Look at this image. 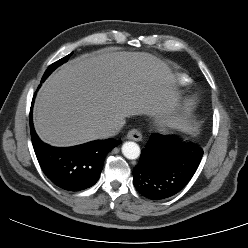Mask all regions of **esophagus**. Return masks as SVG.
<instances>
[{
  "label": "esophagus",
  "instance_id": "1",
  "mask_svg": "<svg viewBox=\"0 0 248 248\" xmlns=\"http://www.w3.org/2000/svg\"><path fill=\"white\" fill-rule=\"evenodd\" d=\"M126 138L129 139V140H133V141H141L142 140V134L137 129H131L127 133Z\"/></svg>",
  "mask_w": 248,
  "mask_h": 248
}]
</instances>
